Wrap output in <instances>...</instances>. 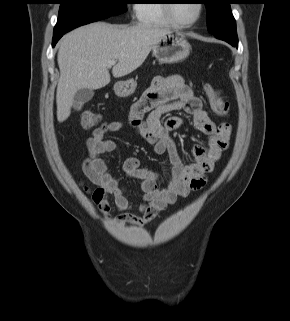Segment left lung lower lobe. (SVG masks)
<instances>
[{
	"mask_svg": "<svg viewBox=\"0 0 290 321\" xmlns=\"http://www.w3.org/2000/svg\"><path fill=\"white\" fill-rule=\"evenodd\" d=\"M215 37L228 42L230 45H232L234 47L238 46V37H237L236 31L225 33V34L215 35Z\"/></svg>",
	"mask_w": 290,
	"mask_h": 321,
	"instance_id": "obj_1",
	"label": "left lung lower lobe"
}]
</instances>
